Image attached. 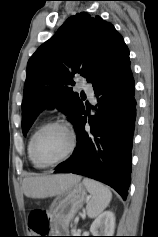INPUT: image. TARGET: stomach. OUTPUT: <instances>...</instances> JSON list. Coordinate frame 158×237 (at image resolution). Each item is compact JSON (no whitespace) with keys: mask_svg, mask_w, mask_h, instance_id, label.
Segmentation results:
<instances>
[{"mask_svg":"<svg viewBox=\"0 0 158 237\" xmlns=\"http://www.w3.org/2000/svg\"><path fill=\"white\" fill-rule=\"evenodd\" d=\"M86 200L87 191L80 181L57 195L49 208V214L55 223L54 228L66 231L68 224Z\"/></svg>","mask_w":158,"mask_h":237,"instance_id":"1","label":"stomach"}]
</instances>
